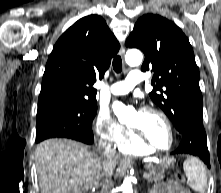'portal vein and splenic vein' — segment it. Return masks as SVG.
Here are the masks:
<instances>
[{"mask_svg": "<svg viewBox=\"0 0 221 193\" xmlns=\"http://www.w3.org/2000/svg\"><path fill=\"white\" fill-rule=\"evenodd\" d=\"M143 178H144V179H148V178H149V174H148L147 172H145V173L143 174Z\"/></svg>", "mask_w": 221, "mask_h": 193, "instance_id": "portal-vein-and-splenic-vein-1", "label": "portal vein and splenic vein"}]
</instances>
